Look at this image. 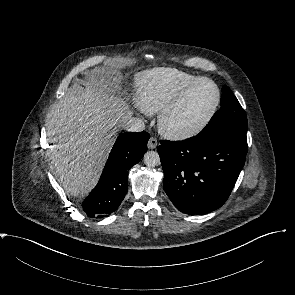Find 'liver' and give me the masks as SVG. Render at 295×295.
Instances as JSON below:
<instances>
[{"instance_id":"6515ba94","label":"liver","mask_w":295,"mask_h":295,"mask_svg":"<svg viewBox=\"0 0 295 295\" xmlns=\"http://www.w3.org/2000/svg\"><path fill=\"white\" fill-rule=\"evenodd\" d=\"M112 76L70 89L49 111L46 133L54 175L68 194L84 195L97 184L117 129L131 117Z\"/></svg>"}]
</instances>
